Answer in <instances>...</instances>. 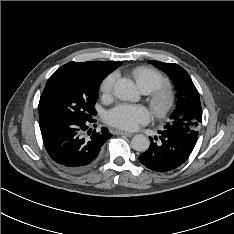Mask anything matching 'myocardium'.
<instances>
[{"label": "myocardium", "instance_id": "1", "mask_svg": "<svg viewBox=\"0 0 234 234\" xmlns=\"http://www.w3.org/2000/svg\"><path fill=\"white\" fill-rule=\"evenodd\" d=\"M150 106L157 117H165L174 107V93L167 87L159 88L152 92Z\"/></svg>", "mask_w": 234, "mask_h": 234}]
</instances>
